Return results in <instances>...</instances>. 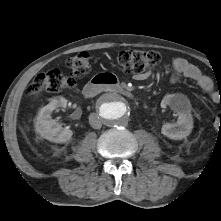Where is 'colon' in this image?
Here are the masks:
<instances>
[{
    "label": "colon",
    "mask_w": 221,
    "mask_h": 221,
    "mask_svg": "<svg viewBox=\"0 0 221 221\" xmlns=\"http://www.w3.org/2000/svg\"><path fill=\"white\" fill-rule=\"evenodd\" d=\"M161 60L160 53L142 50H125L117 57V63L124 72L135 74L150 72ZM66 66L71 75H66L58 69L42 73L29 84L27 93L32 95L43 90L59 92L72 88L75 85L74 77L83 76L90 67L89 53L81 52L70 57L66 61Z\"/></svg>",
    "instance_id": "colon-1"
}]
</instances>
